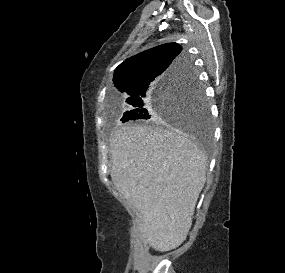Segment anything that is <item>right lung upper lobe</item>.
<instances>
[{
    "label": "right lung upper lobe",
    "mask_w": 285,
    "mask_h": 273,
    "mask_svg": "<svg viewBox=\"0 0 285 273\" xmlns=\"http://www.w3.org/2000/svg\"><path fill=\"white\" fill-rule=\"evenodd\" d=\"M191 67L177 43H166L145 50L120 64L114 73L116 88L131 98L149 92L168 76Z\"/></svg>",
    "instance_id": "1"
}]
</instances>
